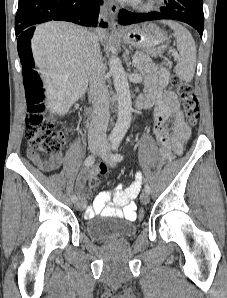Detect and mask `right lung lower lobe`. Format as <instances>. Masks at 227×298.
<instances>
[{"label":"right lung lower lobe","mask_w":227,"mask_h":298,"mask_svg":"<svg viewBox=\"0 0 227 298\" xmlns=\"http://www.w3.org/2000/svg\"><path fill=\"white\" fill-rule=\"evenodd\" d=\"M102 0H19L15 18V34L18 37V53L23 66H33L30 39L35 24L51 20H63L83 26H102L98 22V13ZM28 28V29H27ZM23 67V76L28 74Z\"/></svg>","instance_id":"1"}]
</instances>
